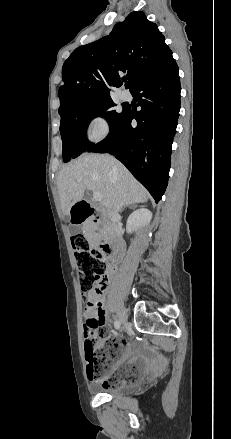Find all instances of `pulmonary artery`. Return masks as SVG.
Segmentation results:
<instances>
[{
	"label": "pulmonary artery",
	"mask_w": 231,
	"mask_h": 439,
	"mask_svg": "<svg viewBox=\"0 0 231 439\" xmlns=\"http://www.w3.org/2000/svg\"><path fill=\"white\" fill-rule=\"evenodd\" d=\"M120 98L124 101L130 100L131 99V94L128 90L123 89L120 92Z\"/></svg>",
	"instance_id": "obj_1"
}]
</instances>
